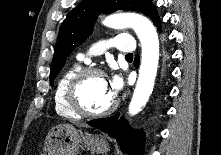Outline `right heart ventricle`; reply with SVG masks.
<instances>
[{"label": "right heart ventricle", "instance_id": "e07e8e85", "mask_svg": "<svg viewBox=\"0 0 221 155\" xmlns=\"http://www.w3.org/2000/svg\"><path fill=\"white\" fill-rule=\"evenodd\" d=\"M81 69L79 64H75L72 67L68 68L57 81L55 91H54V106L56 112L66 118L76 119L79 118L80 115L75 113L68 106L65 99V92L67 85L70 79Z\"/></svg>", "mask_w": 221, "mask_h": 155}]
</instances>
